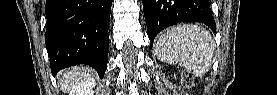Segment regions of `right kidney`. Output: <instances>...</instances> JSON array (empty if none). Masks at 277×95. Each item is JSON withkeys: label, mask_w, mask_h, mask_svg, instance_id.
Listing matches in <instances>:
<instances>
[{"label": "right kidney", "mask_w": 277, "mask_h": 95, "mask_svg": "<svg viewBox=\"0 0 277 95\" xmlns=\"http://www.w3.org/2000/svg\"><path fill=\"white\" fill-rule=\"evenodd\" d=\"M95 85L96 83L93 79L84 80L81 82L79 93L76 95H93V88Z\"/></svg>", "instance_id": "ca27d5eb"}]
</instances>
